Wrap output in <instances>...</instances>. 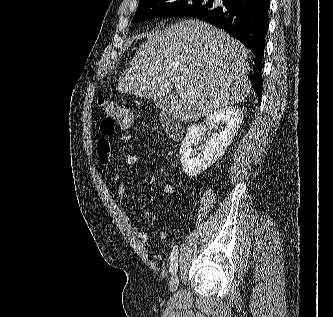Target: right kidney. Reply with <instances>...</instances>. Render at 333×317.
<instances>
[{"label":"right kidney","instance_id":"1","mask_svg":"<svg viewBox=\"0 0 333 317\" xmlns=\"http://www.w3.org/2000/svg\"><path fill=\"white\" fill-rule=\"evenodd\" d=\"M243 112L237 106L222 107L206 117L203 125H192L180 146V161L188 176H197L213 165L225 152L240 128ZM220 121L225 122L224 129L219 134H212L206 141L205 149L200 154H194L192 146L206 130L213 129Z\"/></svg>","mask_w":333,"mask_h":317}]
</instances>
